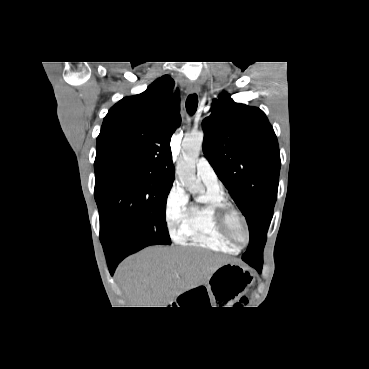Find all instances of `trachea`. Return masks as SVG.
<instances>
[{
	"label": "trachea",
	"mask_w": 369,
	"mask_h": 369,
	"mask_svg": "<svg viewBox=\"0 0 369 369\" xmlns=\"http://www.w3.org/2000/svg\"><path fill=\"white\" fill-rule=\"evenodd\" d=\"M198 107V96L194 93L187 97L186 109L189 115H194Z\"/></svg>",
	"instance_id": "3493384b"
}]
</instances>
